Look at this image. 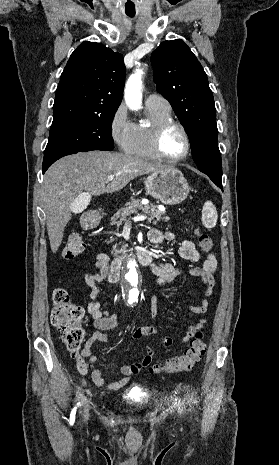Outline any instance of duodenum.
Listing matches in <instances>:
<instances>
[{
	"label": "duodenum",
	"instance_id": "410a0bca",
	"mask_svg": "<svg viewBox=\"0 0 279 465\" xmlns=\"http://www.w3.org/2000/svg\"><path fill=\"white\" fill-rule=\"evenodd\" d=\"M94 224H95L94 219L88 218L86 220V225L93 226ZM127 256H128L127 250L123 249L119 251L118 257L114 260V262L111 265L110 276H109V280L111 283H116L119 281L122 264ZM134 256L142 265H150L152 263L151 253L149 251V248L146 246L142 247L137 252H135Z\"/></svg>",
	"mask_w": 279,
	"mask_h": 465
}]
</instances>
